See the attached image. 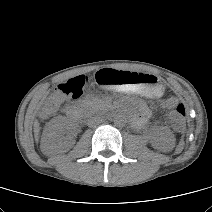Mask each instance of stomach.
<instances>
[{"label":"stomach","instance_id":"stomach-1","mask_svg":"<svg viewBox=\"0 0 212 212\" xmlns=\"http://www.w3.org/2000/svg\"><path fill=\"white\" fill-rule=\"evenodd\" d=\"M94 81L98 85H105L127 93H138L147 97H160L163 94V85L155 76L116 70L105 67L94 74Z\"/></svg>","mask_w":212,"mask_h":212}]
</instances>
